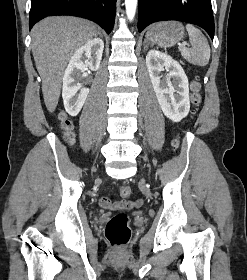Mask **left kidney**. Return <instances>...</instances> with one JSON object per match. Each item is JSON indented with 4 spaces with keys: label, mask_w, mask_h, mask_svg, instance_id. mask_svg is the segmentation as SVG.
Instances as JSON below:
<instances>
[{
    "label": "left kidney",
    "mask_w": 247,
    "mask_h": 280,
    "mask_svg": "<svg viewBox=\"0 0 247 280\" xmlns=\"http://www.w3.org/2000/svg\"><path fill=\"white\" fill-rule=\"evenodd\" d=\"M146 66L164 115L173 122H180L190 110L189 83L183 68L172 57L157 50L147 53ZM164 68L168 73L161 79Z\"/></svg>",
    "instance_id": "left-kidney-1"
}]
</instances>
